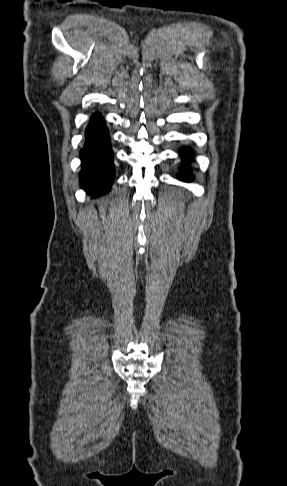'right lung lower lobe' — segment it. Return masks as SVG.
Returning a JSON list of instances; mask_svg holds the SVG:
<instances>
[{
    "instance_id": "1",
    "label": "right lung lower lobe",
    "mask_w": 287,
    "mask_h": 486,
    "mask_svg": "<svg viewBox=\"0 0 287 486\" xmlns=\"http://www.w3.org/2000/svg\"><path fill=\"white\" fill-rule=\"evenodd\" d=\"M85 135L86 143L80 152V183L88 194L96 197L110 190L115 177L109 133L100 114L92 116Z\"/></svg>"
}]
</instances>
